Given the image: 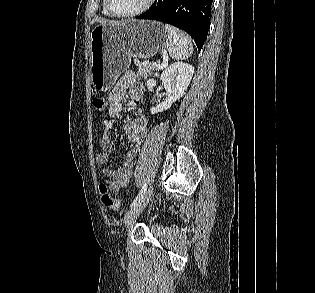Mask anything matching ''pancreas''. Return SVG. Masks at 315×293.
Instances as JSON below:
<instances>
[{"label": "pancreas", "instance_id": "1", "mask_svg": "<svg viewBox=\"0 0 315 293\" xmlns=\"http://www.w3.org/2000/svg\"><path fill=\"white\" fill-rule=\"evenodd\" d=\"M134 63L138 66L137 77L142 76L147 79V77L152 75L153 71H157V67L153 66L152 63L140 62L138 60H135Z\"/></svg>", "mask_w": 315, "mask_h": 293}]
</instances>
